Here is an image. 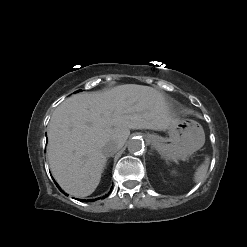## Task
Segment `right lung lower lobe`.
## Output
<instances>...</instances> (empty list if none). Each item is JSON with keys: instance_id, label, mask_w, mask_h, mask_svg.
Returning <instances> with one entry per match:
<instances>
[{"instance_id": "98d812e1", "label": "right lung lower lobe", "mask_w": 247, "mask_h": 247, "mask_svg": "<svg viewBox=\"0 0 247 247\" xmlns=\"http://www.w3.org/2000/svg\"><path fill=\"white\" fill-rule=\"evenodd\" d=\"M57 185V184H56ZM57 187L60 189V187L57 185ZM61 190V189H60ZM65 194V193H64ZM82 202H92V201H95L96 199H91V200H81V199H78Z\"/></svg>"}]
</instances>
